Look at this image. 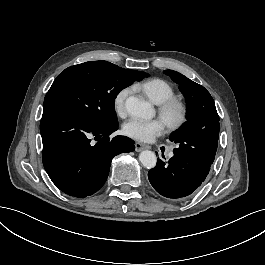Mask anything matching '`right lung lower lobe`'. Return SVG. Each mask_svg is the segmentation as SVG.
<instances>
[{
  "label": "right lung lower lobe",
  "mask_w": 265,
  "mask_h": 265,
  "mask_svg": "<svg viewBox=\"0 0 265 265\" xmlns=\"http://www.w3.org/2000/svg\"><path fill=\"white\" fill-rule=\"evenodd\" d=\"M117 129L118 125L95 128L62 112L43 111V165L56 187L74 197L98 191L108 177L113 157L135 149L130 138L109 139ZM94 136L96 143L91 139Z\"/></svg>",
  "instance_id": "obj_1"
}]
</instances>
